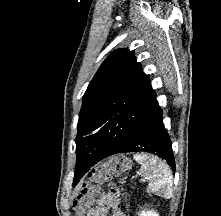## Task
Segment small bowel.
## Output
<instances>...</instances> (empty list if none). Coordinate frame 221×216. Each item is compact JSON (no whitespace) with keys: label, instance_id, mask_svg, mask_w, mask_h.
<instances>
[{"label":"small bowel","instance_id":"1","mask_svg":"<svg viewBox=\"0 0 221 216\" xmlns=\"http://www.w3.org/2000/svg\"><path fill=\"white\" fill-rule=\"evenodd\" d=\"M111 209V216H125L117 205L116 195L113 193L104 194L98 200L94 209L87 216H107V209Z\"/></svg>","mask_w":221,"mask_h":216}]
</instances>
